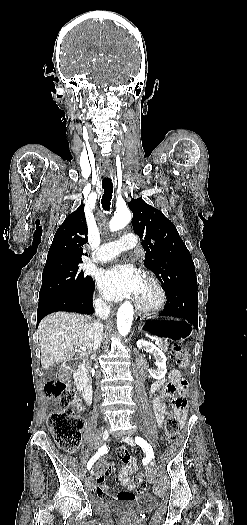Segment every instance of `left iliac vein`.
Returning a JSON list of instances; mask_svg holds the SVG:
<instances>
[{
	"label": "left iliac vein",
	"mask_w": 247,
	"mask_h": 525,
	"mask_svg": "<svg viewBox=\"0 0 247 525\" xmlns=\"http://www.w3.org/2000/svg\"><path fill=\"white\" fill-rule=\"evenodd\" d=\"M122 439H123L126 443H128L129 445H131V446H135V442H134V440H133L132 437H130V436H124V437H122ZM149 465H150V468H151V469H154V468H155V461H154V460H150V464H149Z\"/></svg>",
	"instance_id": "obj_1"
}]
</instances>
